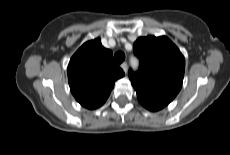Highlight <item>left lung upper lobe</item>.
I'll list each match as a JSON object with an SVG mask.
<instances>
[{"mask_svg":"<svg viewBox=\"0 0 230 155\" xmlns=\"http://www.w3.org/2000/svg\"><path fill=\"white\" fill-rule=\"evenodd\" d=\"M133 48L140 67L135 73L130 70L129 78L139 102L166 107L181 89L184 56L166 36L140 37Z\"/></svg>","mask_w":230,"mask_h":155,"instance_id":"1","label":"left lung upper lobe"}]
</instances>
